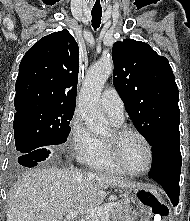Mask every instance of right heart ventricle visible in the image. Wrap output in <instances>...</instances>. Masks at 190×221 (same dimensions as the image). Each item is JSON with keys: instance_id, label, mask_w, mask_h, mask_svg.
<instances>
[{"instance_id": "e07e8e85", "label": "right heart ventricle", "mask_w": 190, "mask_h": 221, "mask_svg": "<svg viewBox=\"0 0 190 221\" xmlns=\"http://www.w3.org/2000/svg\"><path fill=\"white\" fill-rule=\"evenodd\" d=\"M114 124L116 126L120 125V123L115 122ZM87 165L97 171L116 174L124 173L114 162L105 138H97L96 150Z\"/></svg>"}]
</instances>
